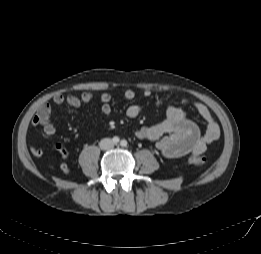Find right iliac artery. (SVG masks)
Returning a JSON list of instances; mask_svg holds the SVG:
<instances>
[{"mask_svg":"<svg viewBox=\"0 0 261 254\" xmlns=\"http://www.w3.org/2000/svg\"><path fill=\"white\" fill-rule=\"evenodd\" d=\"M112 141H113L114 144H117V143H119L120 139L115 136V137L112 139Z\"/></svg>","mask_w":261,"mask_h":254,"instance_id":"82829eb1","label":"right iliac artery"}]
</instances>
